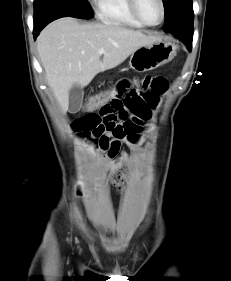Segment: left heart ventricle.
I'll return each instance as SVG.
<instances>
[{
  "mask_svg": "<svg viewBox=\"0 0 231 281\" xmlns=\"http://www.w3.org/2000/svg\"><path fill=\"white\" fill-rule=\"evenodd\" d=\"M139 10L144 19L150 24H156L161 19V5L159 0H138Z\"/></svg>",
  "mask_w": 231,
  "mask_h": 281,
  "instance_id": "1",
  "label": "left heart ventricle"
}]
</instances>
